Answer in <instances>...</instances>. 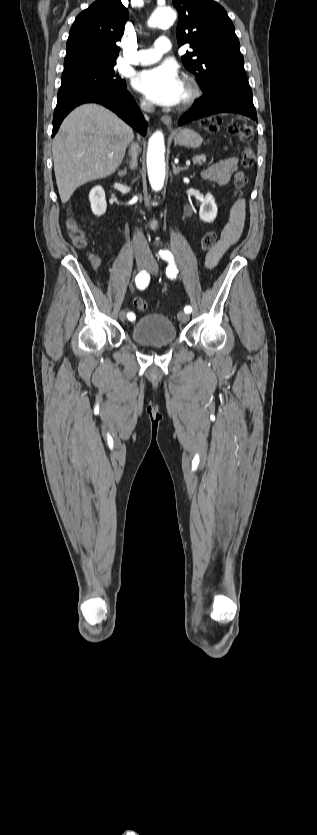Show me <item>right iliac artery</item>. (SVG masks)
<instances>
[{
	"label": "right iliac artery",
	"mask_w": 317,
	"mask_h": 835,
	"mask_svg": "<svg viewBox=\"0 0 317 835\" xmlns=\"http://www.w3.org/2000/svg\"><path fill=\"white\" fill-rule=\"evenodd\" d=\"M149 281H150V276L145 270L140 271L137 274V276L135 277L136 286L140 290L145 289L148 286ZM127 317H128V319H134L135 316H134L133 313L130 312V313L127 314Z\"/></svg>",
	"instance_id": "right-iliac-artery-1"
}]
</instances>
